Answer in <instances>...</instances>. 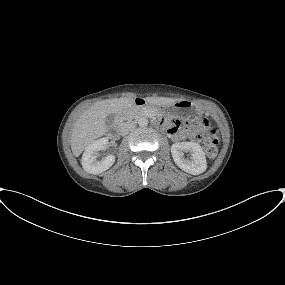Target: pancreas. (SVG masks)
I'll use <instances>...</instances> for the list:
<instances>
[{
    "label": "pancreas",
    "mask_w": 285,
    "mask_h": 285,
    "mask_svg": "<svg viewBox=\"0 0 285 285\" xmlns=\"http://www.w3.org/2000/svg\"><path fill=\"white\" fill-rule=\"evenodd\" d=\"M149 112L155 113L153 109L132 107L124 112L123 120H132L134 118H138L140 116L146 115Z\"/></svg>",
    "instance_id": "1"
}]
</instances>
